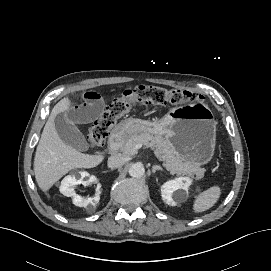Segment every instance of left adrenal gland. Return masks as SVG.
I'll list each match as a JSON object with an SVG mask.
<instances>
[{
    "mask_svg": "<svg viewBox=\"0 0 271 271\" xmlns=\"http://www.w3.org/2000/svg\"><path fill=\"white\" fill-rule=\"evenodd\" d=\"M151 171H152V173H156V171H163V169L158 165H153Z\"/></svg>",
    "mask_w": 271,
    "mask_h": 271,
    "instance_id": "a2214340",
    "label": "left adrenal gland"
}]
</instances>
